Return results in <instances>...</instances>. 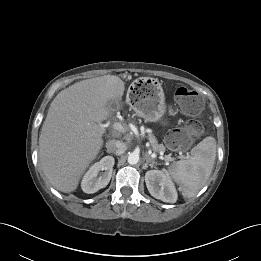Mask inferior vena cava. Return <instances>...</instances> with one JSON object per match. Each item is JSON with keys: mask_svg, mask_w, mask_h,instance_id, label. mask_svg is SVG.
<instances>
[{"mask_svg": "<svg viewBox=\"0 0 261 261\" xmlns=\"http://www.w3.org/2000/svg\"><path fill=\"white\" fill-rule=\"evenodd\" d=\"M106 148L108 153L121 155L126 151V145L121 141L109 140L106 142Z\"/></svg>", "mask_w": 261, "mask_h": 261, "instance_id": "inferior-vena-cava-1", "label": "inferior vena cava"}]
</instances>
